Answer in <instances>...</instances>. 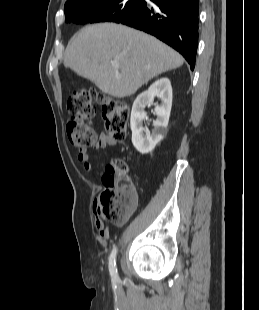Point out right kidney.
<instances>
[{"label": "right kidney", "instance_id": "1", "mask_svg": "<svg viewBox=\"0 0 259 310\" xmlns=\"http://www.w3.org/2000/svg\"><path fill=\"white\" fill-rule=\"evenodd\" d=\"M155 96L160 98L161 104L155 107L157 119L153 122L154 129L150 133L147 128L143 127V120H147L144 109L147 105L153 103ZM171 106L172 87L170 80L166 77L155 81L147 91L142 92L135 99L131 111L130 125L132 143L138 152L148 154L163 139L167 133Z\"/></svg>", "mask_w": 259, "mask_h": 310}]
</instances>
